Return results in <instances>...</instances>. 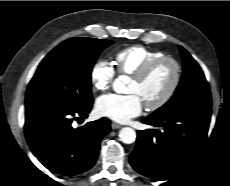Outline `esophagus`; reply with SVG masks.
<instances>
[{
  "instance_id": "1",
  "label": "esophagus",
  "mask_w": 230,
  "mask_h": 186,
  "mask_svg": "<svg viewBox=\"0 0 230 186\" xmlns=\"http://www.w3.org/2000/svg\"><path fill=\"white\" fill-rule=\"evenodd\" d=\"M111 127H112V129H119V128H121V127H122V125H120V124H118V123L113 122V123L111 124Z\"/></svg>"
}]
</instances>
